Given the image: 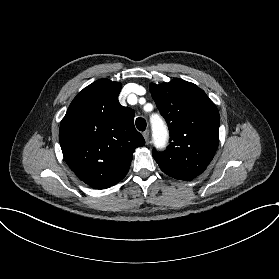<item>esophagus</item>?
<instances>
[{
    "mask_svg": "<svg viewBox=\"0 0 279 279\" xmlns=\"http://www.w3.org/2000/svg\"><path fill=\"white\" fill-rule=\"evenodd\" d=\"M142 135H143L145 141L147 142L148 139H149V130H145V131L142 133Z\"/></svg>",
    "mask_w": 279,
    "mask_h": 279,
    "instance_id": "34e87169",
    "label": "esophagus"
}]
</instances>
